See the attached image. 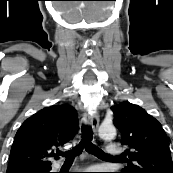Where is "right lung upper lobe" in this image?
I'll return each instance as SVG.
<instances>
[{"label":"right lung upper lobe","mask_w":173,"mask_h":173,"mask_svg":"<svg viewBox=\"0 0 173 173\" xmlns=\"http://www.w3.org/2000/svg\"><path fill=\"white\" fill-rule=\"evenodd\" d=\"M76 111L68 105H53L35 113L18 129L6 173L51 167L54 151L77 133Z\"/></svg>","instance_id":"1"}]
</instances>
